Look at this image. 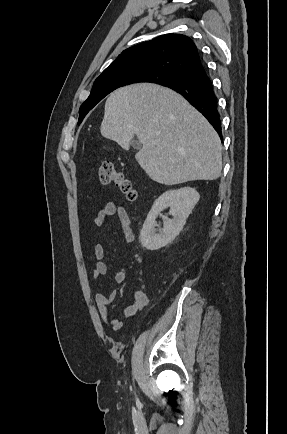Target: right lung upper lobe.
I'll list each match as a JSON object with an SVG mask.
<instances>
[{
    "label": "right lung upper lobe",
    "mask_w": 287,
    "mask_h": 434,
    "mask_svg": "<svg viewBox=\"0 0 287 434\" xmlns=\"http://www.w3.org/2000/svg\"><path fill=\"white\" fill-rule=\"evenodd\" d=\"M199 65L197 47L189 37L165 34L124 50L97 79L145 70H162L182 76Z\"/></svg>",
    "instance_id": "obj_1"
}]
</instances>
